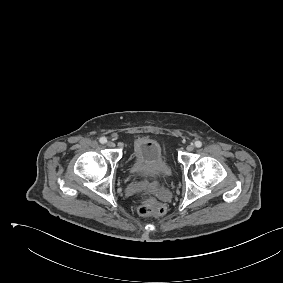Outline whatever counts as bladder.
I'll use <instances>...</instances> for the list:
<instances>
[{"label":"bladder","instance_id":"bladder-1","mask_svg":"<svg viewBox=\"0 0 283 283\" xmlns=\"http://www.w3.org/2000/svg\"><path fill=\"white\" fill-rule=\"evenodd\" d=\"M171 173L162 146L155 140L143 139L134 144L131 174L136 178H164Z\"/></svg>","mask_w":283,"mask_h":283}]
</instances>
